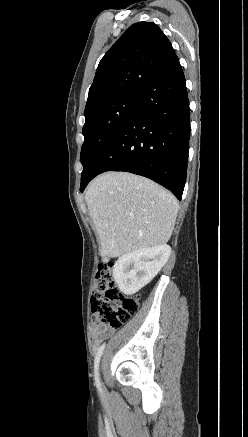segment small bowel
Instances as JSON below:
<instances>
[{
    "label": "small bowel",
    "mask_w": 248,
    "mask_h": 437,
    "mask_svg": "<svg viewBox=\"0 0 248 437\" xmlns=\"http://www.w3.org/2000/svg\"><path fill=\"white\" fill-rule=\"evenodd\" d=\"M113 330L108 327L91 328V341L94 348H96L107 336L112 334Z\"/></svg>",
    "instance_id": "1"
}]
</instances>
